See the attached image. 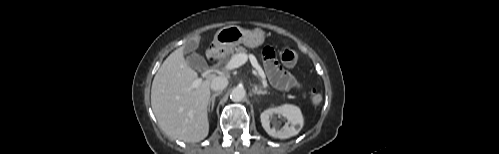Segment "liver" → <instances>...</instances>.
<instances>
[{"instance_id": "obj_1", "label": "liver", "mask_w": 499, "mask_h": 154, "mask_svg": "<svg viewBox=\"0 0 499 154\" xmlns=\"http://www.w3.org/2000/svg\"><path fill=\"white\" fill-rule=\"evenodd\" d=\"M185 46L172 52L157 71L151 88V106L161 129L171 138L199 142L209 132L207 107L210 81L193 83L197 72L186 62Z\"/></svg>"}]
</instances>
